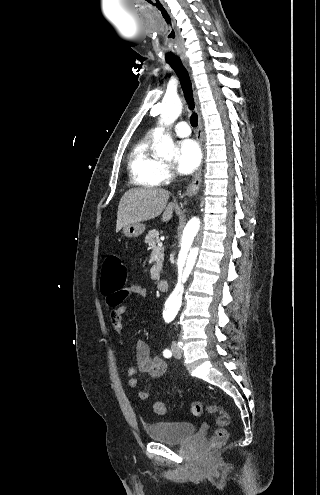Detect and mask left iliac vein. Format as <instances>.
<instances>
[{"mask_svg": "<svg viewBox=\"0 0 320 495\" xmlns=\"http://www.w3.org/2000/svg\"><path fill=\"white\" fill-rule=\"evenodd\" d=\"M171 349L176 359H180L182 357V352L175 341L172 342Z\"/></svg>", "mask_w": 320, "mask_h": 495, "instance_id": "left-iliac-vein-1", "label": "left iliac vein"}]
</instances>
